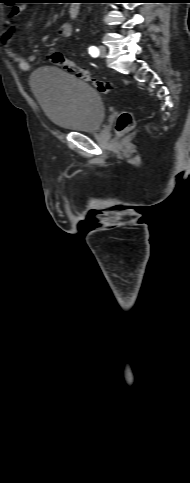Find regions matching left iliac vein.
Wrapping results in <instances>:
<instances>
[{
  "mask_svg": "<svg viewBox=\"0 0 190 483\" xmlns=\"http://www.w3.org/2000/svg\"><path fill=\"white\" fill-rule=\"evenodd\" d=\"M107 50L105 46H99V54L100 57L105 58L106 57Z\"/></svg>",
  "mask_w": 190,
  "mask_h": 483,
  "instance_id": "4c4485c4",
  "label": "left iliac vein"
}]
</instances>
